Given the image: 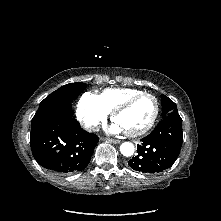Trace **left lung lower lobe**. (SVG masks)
Wrapping results in <instances>:
<instances>
[{"instance_id":"obj_1","label":"left lung lower lobe","mask_w":221,"mask_h":221,"mask_svg":"<svg viewBox=\"0 0 221 221\" xmlns=\"http://www.w3.org/2000/svg\"><path fill=\"white\" fill-rule=\"evenodd\" d=\"M183 142L182 119L179 115L164 117L155 129L137 145V155L128 165L140 172L156 173L171 167Z\"/></svg>"}]
</instances>
